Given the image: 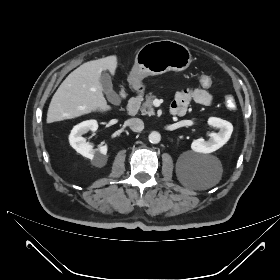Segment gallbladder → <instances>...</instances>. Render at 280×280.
<instances>
[{
	"label": "gallbladder",
	"mask_w": 280,
	"mask_h": 280,
	"mask_svg": "<svg viewBox=\"0 0 280 280\" xmlns=\"http://www.w3.org/2000/svg\"><path fill=\"white\" fill-rule=\"evenodd\" d=\"M100 82L102 85L103 92L105 93L109 102L115 105H119L121 102V98L119 95L113 90L111 76L108 72L103 71L100 77Z\"/></svg>",
	"instance_id": "gallbladder-1"
}]
</instances>
